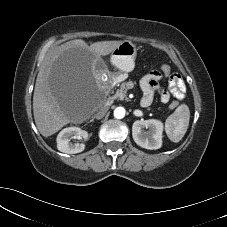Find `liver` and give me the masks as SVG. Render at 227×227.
Masks as SVG:
<instances>
[{"mask_svg":"<svg viewBox=\"0 0 227 227\" xmlns=\"http://www.w3.org/2000/svg\"><path fill=\"white\" fill-rule=\"evenodd\" d=\"M122 42L88 45L77 39L50 50L37 75L33 95L34 120L42 136H51L75 121L73 104L98 83L96 58L109 55Z\"/></svg>","mask_w":227,"mask_h":227,"instance_id":"obj_1","label":"liver"}]
</instances>
